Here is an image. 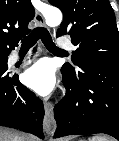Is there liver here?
<instances>
[{"label":"liver","instance_id":"liver-1","mask_svg":"<svg viewBox=\"0 0 119 141\" xmlns=\"http://www.w3.org/2000/svg\"><path fill=\"white\" fill-rule=\"evenodd\" d=\"M19 137L11 130L0 127V141H17ZM28 141H33L34 138L31 136L24 137Z\"/></svg>","mask_w":119,"mask_h":141}]
</instances>
